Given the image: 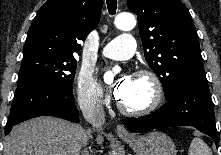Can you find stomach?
<instances>
[{"label": "stomach", "mask_w": 221, "mask_h": 155, "mask_svg": "<svg viewBox=\"0 0 221 155\" xmlns=\"http://www.w3.org/2000/svg\"><path fill=\"white\" fill-rule=\"evenodd\" d=\"M122 139L136 155H175L174 142L164 133L153 131L141 136Z\"/></svg>", "instance_id": "1"}]
</instances>
